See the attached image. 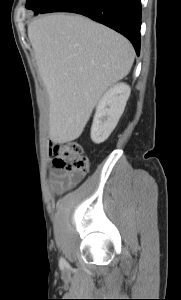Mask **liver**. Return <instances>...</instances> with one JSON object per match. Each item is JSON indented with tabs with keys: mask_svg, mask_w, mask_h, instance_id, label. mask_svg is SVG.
I'll use <instances>...</instances> for the list:
<instances>
[{
	"mask_svg": "<svg viewBox=\"0 0 181 300\" xmlns=\"http://www.w3.org/2000/svg\"><path fill=\"white\" fill-rule=\"evenodd\" d=\"M28 37L49 96V137L73 141L106 90L130 72L133 46L102 24L62 13L32 21Z\"/></svg>",
	"mask_w": 181,
	"mask_h": 300,
	"instance_id": "liver-1",
	"label": "liver"
}]
</instances>
